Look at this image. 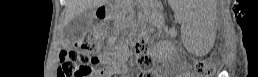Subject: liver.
<instances>
[{
  "label": "liver",
  "mask_w": 258,
  "mask_h": 77,
  "mask_svg": "<svg viewBox=\"0 0 258 77\" xmlns=\"http://www.w3.org/2000/svg\"><path fill=\"white\" fill-rule=\"evenodd\" d=\"M106 2L107 0H65V24L67 25L76 16L95 7H100Z\"/></svg>",
  "instance_id": "1"
}]
</instances>
